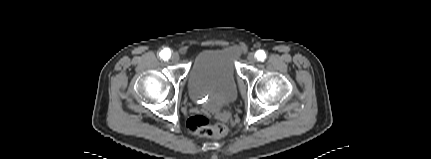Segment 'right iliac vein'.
Returning <instances> with one entry per match:
<instances>
[{"mask_svg": "<svg viewBox=\"0 0 431 159\" xmlns=\"http://www.w3.org/2000/svg\"><path fill=\"white\" fill-rule=\"evenodd\" d=\"M179 59H180V56H179V54H178V53H173V54H172V56H171V60H172L173 62H178V61H179Z\"/></svg>", "mask_w": 431, "mask_h": 159, "instance_id": "obj_1", "label": "right iliac vein"}]
</instances>
